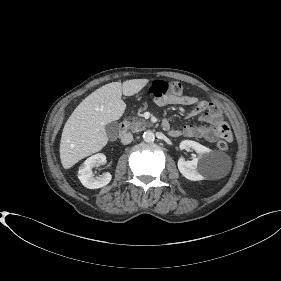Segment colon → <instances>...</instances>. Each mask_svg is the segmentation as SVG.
Wrapping results in <instances>:
<instances>
[{
	"mask_svg": "<svg viewBox=\"0 0 281 281\" xmlns=\"http://www.w3.org/2000/svg\"><path fill=\"white\" fill-rule=\"evenodd\" d=\"M183 87L177 81H156L150 88V94L154 98H163L168 96H178L182 93ZM229 139L224 138L217 143L220 150H227L229 148Z\"/></svg>",
	"mask_w": 281,
	"mask_h": 281,
	"instance_id": "5ec220e1",
	"label": "colon"
}]
</instances>
